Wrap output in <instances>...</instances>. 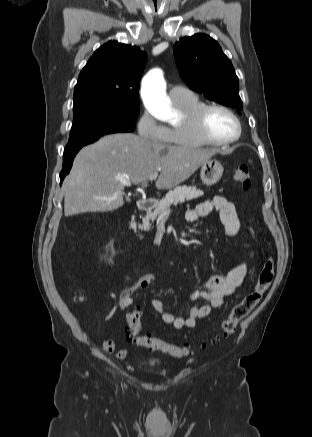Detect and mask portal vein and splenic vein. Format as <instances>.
Wrapping results in <instances>:
<instances>
[{"instance_id":"obj_1","label":"portal vein and splenic vein","mask_w":312,"mask_h":437,"mask_svg":"<svg viewBox=\"0 0 312 437\" xmlns=\"http://www.w3.org/2000/svg\"><path fill=\"white\" fill-rule=\"evenodd\" d=\"M157 176H158V172H155L149 177V180H155ZM120 182L125 186H131V182L129 180L121 179Z\"/></svg>"}]
</instances>
